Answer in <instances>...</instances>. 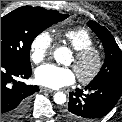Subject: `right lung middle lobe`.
<instances>
[{
	"label": "right lung middle lobe",
	"mask_w": 122,
	"mask_h": 122,
	"mask_svg": "<svg viewBox=\"0 0 122 122\" xmlns=\"http://www.w3.org/2000/svg\"><path fill=\"white\" fill-rule=\"evenodd\" d=\"M68 15L23 6L1 18V58L30 68V47L34 38Z\"/></svg>",
	"instance_id": "dd1d6c3e"
}]
</instances>
